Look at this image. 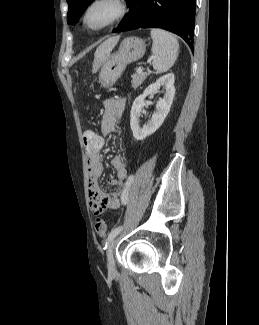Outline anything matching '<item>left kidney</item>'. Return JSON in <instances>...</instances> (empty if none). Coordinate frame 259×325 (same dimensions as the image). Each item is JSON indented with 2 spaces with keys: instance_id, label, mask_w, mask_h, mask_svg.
Instances as JSON below:
<instances>
[{
  "instance_id": "1",
  "label": "left kidney",
  "mask_w": 259,
  "mask_h": 325,
  "mask_svg": "<svg viewBox=\"0 0 259 325\" xmlns=\"http://www.w3.org/2000/svg\"><path fill=\"white\" fill-rule=\"evenodd\" d=\"M174 74L169 73L159 78L155 83L150 84L133 102L130 112V126L133 136L136 140H143L147 136L153 134L164 122L170 111L174 95ZM161 86H165V94L156 104V112L152 115L142 128L139 126V118L142 114V108L145 105V98L158 91Z\"/></svg>"
}]
</instances>
